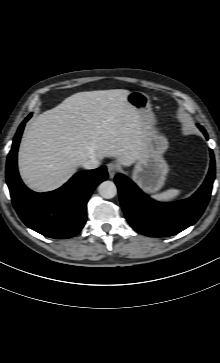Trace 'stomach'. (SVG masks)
Returning <instances> with one entry per match:
<instances>
[{"label":"stomach","instance_id":"stomach-1","mask_svg":"<svg viewBox=\"0 0 220 363\" xmlns=\"http://www.w3.org/2000/svg\"><path fill=\"white\" fill-rule=\"evenodd\" d=\"M127 103L136 108L144 117L143 153L136 161L132 178L146 193L159 191L166 180L169 166L163 158L168 148L167 138L155 127L149 97L140 91L130 92Z\"/></svg>","mask_w":220,"mask_h":363}]
</instances>
